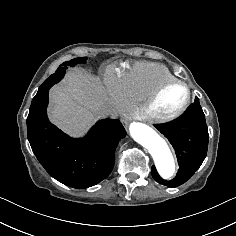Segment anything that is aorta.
I'll return each instance as SVG.
<instances>
[{
  "instance_id": "762f6f07",
  "label": "aorta",
  "mask_w": 236,
  "mask_h": 236,
  "mask_svg": "<svg viewBox=\"0 0 236 236\" xmlns=\"http://www.w3.org/2000/svg\"><path fill=\"white\" fill-rule=\"evenodd\" d=\"M131 137L151 154L159 175L169 180L175 173V162L166 141L151 127L142 123L130 125Z\"/></svg>"
}]
</instances>
